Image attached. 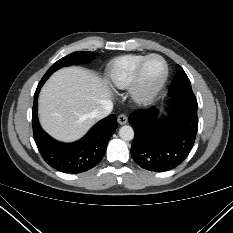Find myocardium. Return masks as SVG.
<instances>
[{
  "instance_id": "1",
  "label": "myocardium",
  "mask_w": 233,
  "mask_h": 233,
  "mask_svg": "<svg viewBox=\"0 0 233 233\" xmlns=\"http://www.w3.org/2000/svg\"><path fill=\"white\" fill-rule=\"evenodd\" d=\"M152 58L160 59L164 64V74L162 78L154 85H146L143 81V72L147 62ZM169 76V67L166 60L158 54L147 55L139 64L133 77L130 88L132 98L137 102L151 101L164 87Z\"/></svg>"
}]
</instances>
